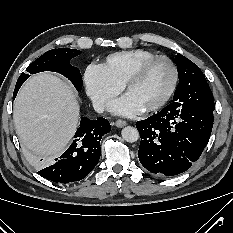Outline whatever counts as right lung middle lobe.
<instances>
[{"label":"right lung middle lobe","mask_w":233,"mask_h":233,"mask_svg":"<svg viewBox=\"0 0 233 233\" xmlns=\"http://www.w3.org/2000/svg\"><path fill=\"white\" fill-rule=\"evenodd\" d=\"M81 51L76 49L59 48L52 49L44 53L32 64H30L26 73H22L18 78V82H23L30 76L42 71H54L68 78L77 91L82 89V76L77 67L70 64V60L78 56Z\"/></svg>","instance_id":"1"}]
</instances>
